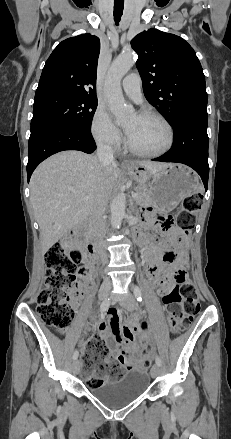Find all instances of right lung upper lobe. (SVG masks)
Returning <instances> with one entry per match:
<instances>
[{"instance_id": "1", "label": "right lung upper lobe", "mask_w": 231, "mask_h": 439, "mask_svg": "<svg viewBox=\"0 0 231 439\" xmlns=\"http://www.w3.org/2000/svg\"><path fill=\"white\" fill-rule=\"evenodd\" d=\"M100 40L81 34L62 41L43 68L35 99L52 94L96 97L97 62Z\"/></svg>"}]
</instances>
